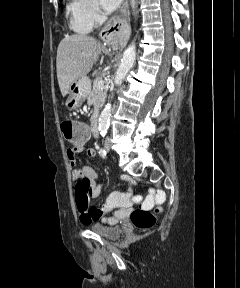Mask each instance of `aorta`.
I'll return each mask as SVG.
<instances>
[{"mask_svg": "<svg viewBox=\"0 0 240 288\" xmlns=\"http://www.w3.org/2000/svg\"><path fill=\"white\" fill-rule=\"evenodd\" d=\"M132 7L133 8L135 7V0H132ZM135 57H136V46L134 43H132L131 45L128 46L127 49H125L123 53L121 63L117 69L115 79H114L116 84L122 83L128 71L133 66ZM111 111H112L111 104L108 103L105 105L104 109L101 111V114L99 117L98 129H99L100 135L103 137L106 135L108 128H109Z\"/></svg>", "mask_w": 240, "mask_h": 288, "instance_id": "obj_1", "label": "aorta"}]
</instances>
